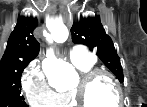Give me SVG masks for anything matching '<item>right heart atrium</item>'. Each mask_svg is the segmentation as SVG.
I'll list each match as a JSON object with an SVG mask.
<instances>
[{
	"label": "right heart atrium",
	"instance_id": "obj_1",
	"mask_svg": "<svg viewBox=\"0 0 147 107\" xmlns=\"http://www.w3.org/2000/svg\"><path fill=\"white\" fill-rule=\"evenodd\" d=\"M22 88L31 106L48 107L58 103V93L49 86L39 63H33L26 71Z\"/></svg>",
	"mask_w": 147,
	"mask_h": 107
}]
</instances>
